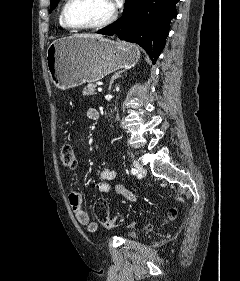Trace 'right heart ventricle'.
<instances>
[{
    "mask_svg": "<svg viewBox=\"0 0 240 281\" xmlns=\"http://www.w3.org/2000/svg\"><path fill=\"white\" fill-rule=\"evenodd\" d=\"M59 23H60V25H61L63 28H67V27L64 25L63 21H62L61 15H60V17H59Z\"/></svg>",
    "mask_w": 240,
    "mask_h": 281,
    "instance_id": "obj_1",
    "label": "right heart ventricle"
}]
</instances>
